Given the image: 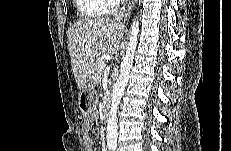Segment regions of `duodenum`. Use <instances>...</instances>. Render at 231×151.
<instances>
[{"mask_svg":"<svg viewBox=\"0 0 231 151\" xmlns=\"http://www.w3.org/2000/svg\"><path fill=\"white\" fill-rule=\"evenodd\" d=\"M110 101H111L110 95L106 94L105 98H104V102H103V116H104V118H106V116L108 115L109 108H110Z\"/></svg>","mask_w":231,"mask_h":151,"instance_id":"duodenum-1","label":"duodenum"}]
</instances>
